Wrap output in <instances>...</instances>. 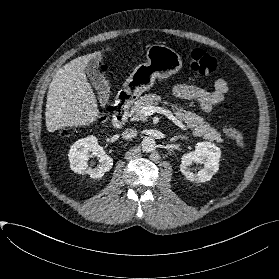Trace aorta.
Wrapping results in <instances>:
<instances>
[{"mask_svg": "<svg viewBox=\"0 0 279 279\" xmlns=\"http://www.w3.org/2000/svg\"><path fill=\"white\" fill-rule=\"evenodd\" d=\"M142 150L146 153L152 152L156 148L155 140L151 137H145L142 141Z\"/></svg>", "mask_w": 279, "mask_h": 279, "instance_id": "762f6f07", "label": "aorta"}]
</instances>
